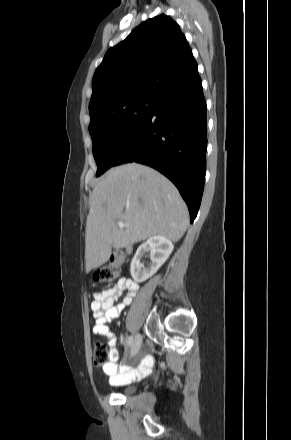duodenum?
<instances>
[{"label": "duodenum", "instance_id": "1", "mask_svg": "<svg viewBox=\"0 0 291 440\" xmlns=\"http://www.w3.org/2000/svg\"><path fill=\"white\" fill-rule=\"evenodd\" d=\"M125 250L128 252L130 250V248L128 246H126Z\"/></svg>", "mask_w": 291, "mask_h": 440}]
</instances>
